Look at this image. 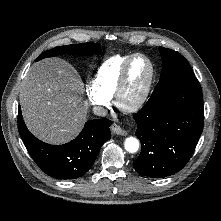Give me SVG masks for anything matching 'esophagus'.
Here are the masks:
<instances>
[{
	"instance_id": "obj_1",
	"label": "esophagus",
	"mask_w": 221,
	"mask_h": 221,
	"mask_svg": "<svg viewBox=\"0 0 221 221\" xmlns=\"http://www.w3.org/2000/svg\"><path fill=\"white\" fill-rule=\"evenodd\" d=\"M110 129L111 131L114 133V134H117V135H126L127 134V131H125L124 129H122L119 125L113 123L111 126H110Z\"/></svg>"
}]
</instances>
